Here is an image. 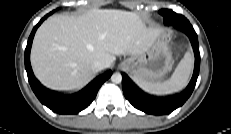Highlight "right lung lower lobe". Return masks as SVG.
Segmentation results:
<instances>
[{
  "label": "right lung lower lobe",
  "instance_id": "right-lung-lower-lobe-1",
  "mask_svg": "<svg viewBox=\"0 0 231 134\" xmlns=\"http://www.w3.org/2000/svg\"><path fill=\"white\" fill-rule=\"evenodd\" d=\"M52 13L53 12L43 17L33 28L29 36L27 47L25 49V68L30 86L42 104L50 108L53 112L59 114H76L91 104L101 85L112 75V71H107L106 73L98 76L83 90L72 95L54 94L53 91H49L43 87L32 72L30 65V49L38 26Z\"/></svg>",
  "mask_w": 231,
  "mask_h": 134
}]
</instances>
